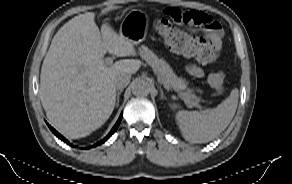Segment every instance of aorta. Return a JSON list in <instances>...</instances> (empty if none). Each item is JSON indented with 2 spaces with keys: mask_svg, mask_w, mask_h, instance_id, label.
Masks as SVG:
<instances>
[{
  "mask_svg": "<svg viewBox=\"0 0 292 184\" xmlns=\"http://www.w3.org/2000/svg\"><path fill=\"white\" fill-rule=\"evenodd\" d=\"M151 91V86L145 79L138 78L132 83V93L135 96H147Z\"/></svg>",
  "mask_w": 292,
  "mask_h": 184,
  "instance_id": "obj_1",
  "label": "aorta"
}]
</instances>
